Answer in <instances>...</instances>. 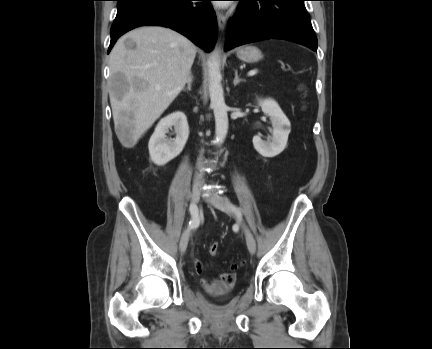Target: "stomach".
Returning a JSON list of instances; mask_svg holds the SVG:
<instances>
[{"instance_id": "0dacf381", "label": "stomach", "mask_w": 432, "mask_h": 349, "mask_svg": "<svg viewBox=\"0 0 432 349\" xmlns=\"http://www.w3.org/2000/svg\"><path fill=\"white\" fill-rule=\"evenodd\" d=\"M237 57L246 63H255L263 58V55L255 46H243L236 49Z\"/></svg>"}]
</instances>
